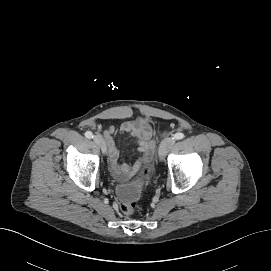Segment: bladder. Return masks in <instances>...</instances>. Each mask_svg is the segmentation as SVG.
Segmentation results:
<instances>
[{"label":"bladder","instance_id":"1","mask_svg":"<svg viewBox=\"0 0 271 271\" xmlns=\"http://www.w3.org/2000/svg\"><path fill=\"white\" fill-rule=\"evenodd\" d=\"M142 192V183H121L116 187L117 197L124 202H136Z\"/></svg>","mask_w":271,"mask_h":271}]
</instances>
